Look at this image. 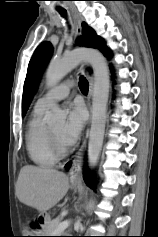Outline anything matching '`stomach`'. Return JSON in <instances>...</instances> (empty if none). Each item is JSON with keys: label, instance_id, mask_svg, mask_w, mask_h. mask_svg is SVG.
<instances>
[{"label": "stomach", "instance_id": "0dacf381", "mask_svg": "<svg viewBox=\"0 0 158 237\" xmlns=\"http://www.w3.org/2000/svg\"><path fill=\"white\" fill-rule=\"evenodd\" d=\"M71 186H72L73 188H76L77 182L71 181ZM44 230H45V228H44ZM32 233H33V236H44L43 233H45V232H43V226H42V228H40V229H35V230H33Z\"/></svg>", "mask_w": 158, "mask_h": 237}]
</instances>
